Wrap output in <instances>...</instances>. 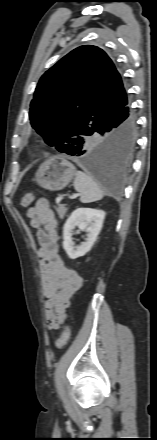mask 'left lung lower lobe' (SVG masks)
Listing matches in <instances>:
<instances>
[{
  "label": "left lung lower lobe",
  "instance_id": "0a47b994",
  "mask_svg": "<svg viewBox=\"0 0 157 440\" xmlns=\"http://www.w3.org/2000/svg\"><path fill=\"white\" fill-rule=\"evenodd\" d=\"M94 134L103 136L96 149H86L81 141L62 153L76 156L87 171L113 186L129 169L136 140V118L128 98L102 119Z\"/></svg>",
  "mask_w": 157,
  "mask_h": 440
}]
</instances>
